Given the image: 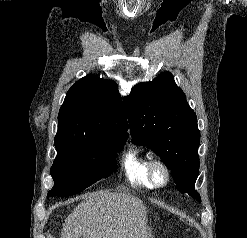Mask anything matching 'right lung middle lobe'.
Listing matches in <instances>:
<instances>
[{
	"instance_id": "dd1d6c3e",
	"label": "right lung middle lobe",
	"mask_w": 247,
	"mask_h": 238,
	"mask_svg": "<svg viewBox=\"0 0 247 238\" xmlns=\"http://www.w3.org/2000/svg\"><path fill=\"white\" fill-rule=\"evenodd\" d=\"M124 144L83 137L55 138L57 157L50 169L55 185L47 196H71L108 177Z\"/></svg>"
}]
</instances>
